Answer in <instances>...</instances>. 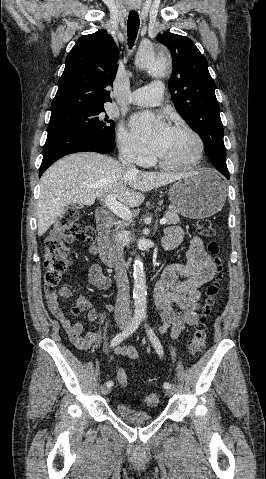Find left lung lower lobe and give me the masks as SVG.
I'll use <instances>...</instances> for the list:
<instances>
[{
	"instance_id": "1",
	"label": "left lung lower lobe",
	"mask_w": 266,
	"mask_h": 479,
	"mask_svg": "<svg viewBox=\"0 0 266 479\" xmlns=\"http://www.w3.org/2000/svg\"><path fill=\"white\" fill-rule=\"evenodd\" d=\"M219 171H220L227 179H229V172H228V170L226 171V170H223V169H222V170H219Z\"/></svg>"
}]
</instances>
